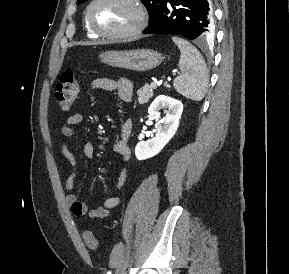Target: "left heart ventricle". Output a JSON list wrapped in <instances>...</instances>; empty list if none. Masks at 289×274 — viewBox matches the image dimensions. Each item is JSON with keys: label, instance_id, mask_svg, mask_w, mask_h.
<instances>
[{"label": "left heart ventricle", "instance_id": "left-heart-ventricle-1", "mask_svg": "<svg viewBox=\"0 0 289 274\" xmlns=\"http://www.w3.org/2000/svg\"><path fill=\"white\" fill-rule=\"evenodd\" d=\"M93 24L105 32H119L136 21L134 7L125 0H101L91 11Z\"/></svg>", "mask_w": 289, "mask_h": 274}]
</instances>
